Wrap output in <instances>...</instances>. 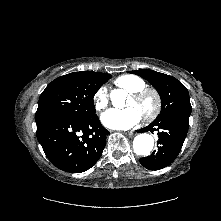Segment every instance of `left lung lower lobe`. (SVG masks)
Segmentation results:
<instances>
[{"mask_svg": "<svg viewBox=\"0 0 221 221\" xmlns=\"http://www.w3.org/2000/svg\"><path fill=\"white\" fill-rule=\"evenodd\" d=\"M189 116L172 115L161 121L152 122L137 132L155 131L158 133L157 146L150 156L140 158V163L149 170H160L171 164L181 151L189 128Z\"/></svg>", "mask_w": 221, "mask_h": 221, "instance_id": "obj_1", "label": "left lung lower lobe"}]
</instances>
